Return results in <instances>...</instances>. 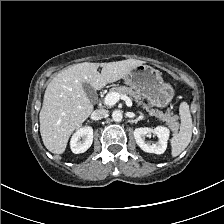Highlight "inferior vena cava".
<instances>
[{"mask_svg":"<svg viewBox=\"0 0 224 224\" xmlns=\"http://www.w3.org/2000/svg\"><path fill=\"white\" fill-rule=\"evenodd\" d=\"M108 115V110L106 109H97L93 112L92 116L94 120H101Z\"/></svg>","mask_w":224,"mask_h":224,"instance_id":"602c4592","label":"inferior vena cava"}]
</instances>
